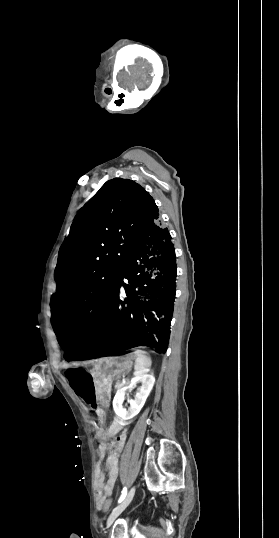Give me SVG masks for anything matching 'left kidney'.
<instances>
[{"instance_id":"5707ae66","label":"left kidney","mask_w":279,"mask_h":538,"mask_svg":"<svg viewBox=\"0 0 279 538\" xmlns=\"http://www.w3.org/2000/svg\"><path fill=\"white\" fill-rule=\"evenodd\" d=\"M137 382H141L142 386H140V388H137ZM154 382L155 378L153 374H148L147 370H137V372H134V378H132L129 386L122 384L121 388L116 392V396L113 400V410L115 414H117L119 418H122V420H132L134 416H137L141 408H143L154 386ZM134 388H137L135 400H129L130 408L126 410V408L122 406L125 400L126 390H134Z\"/></svg>"}]
</instances>
